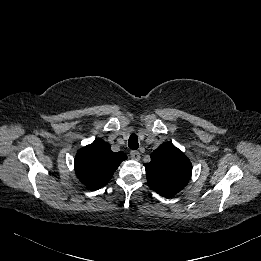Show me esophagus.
<instances>
[{"mask_svg":"<svg viewBox=\"0 0 261 261\" xmlns=\"http://www.w3.org/2000/svg\"><path fill=\"white\" fill-rule=\"evenodd\" d=\"M130 157L131 159L138 161L140 159V153L136 150H132L130 152Z\"/></svg>","mask_w":261,"mask_h":261,"instance_id":"34e87169","label":"esophagus"}]
</instances>
